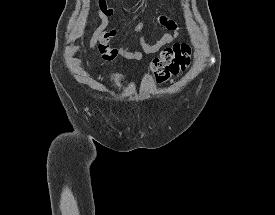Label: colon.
<instances>
[{
	"mask_svg": "<svg viewBox=\"0 0 275 215\" xmlns=\"http://www.w3.org/2000/svg\"><path fill=\"white\" fill-rule=\"evenodd\" d=\"M106 1V0H102ZM192 50L186 42H176L164 48L151 62V70L158 82H164L188 69Z\"/></svg>",
	"mask_w": 275,
	"mask_h": 215,
	"instance_id": "obj_1",
	"label": "colon"
}]
</instances>
